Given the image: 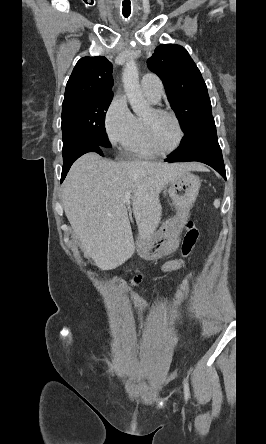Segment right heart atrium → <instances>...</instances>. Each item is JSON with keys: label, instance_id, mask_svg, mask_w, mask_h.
I'll return each instance as SVG.
<instances>
[{"label": "right heart atrium", "instance_id": "1", "mask_svg": "<svg viewBox=\"0 0 266 444\" xmlns=\"http://www.w3.org/2000/svg\"><path fill=\"white\" fill-rule=\"evenodd\" d=\"M132 118L124 96L116 94L104 116L105 134L113 146L123 145L131 128Z\"/></svg>", "mask_w": 266, "mask_h": 444}]
</instances>
